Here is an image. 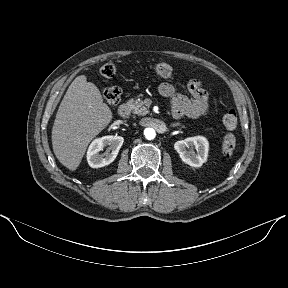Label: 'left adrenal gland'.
I'll return each mask as SVG.
<instances>
[{
	"label": "left adrenal gland",
	"instance_id": "obj_1",
	"mask_svg": "<svg viewBox=\"0 0 288 288\" xmlns=\"http://www.w3.org/2000/svg\"><path fill=\"white\" fill-rule=\"evenodd\" d=\"M179 125V123H173V124H171L170 126L171 127H175V126H178Z\"/></svg>",
	"mask_w": 288,
	"mask_h": 288
}]
</instances>
